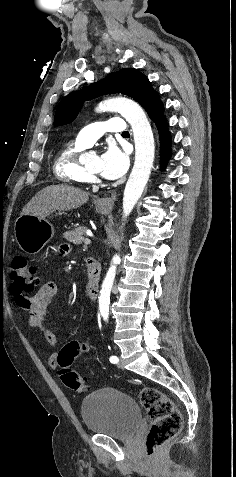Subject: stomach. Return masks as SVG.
<instances>
[{"label": "stomach", "instance_id": "stomach-1", "mask_svg": "<svg viewBox=\"0 0 236 477\" xmlns=\"http://www.w3.org/2000/svg\"><path fill=\"white\" fill-rule=\"evenodd\" d=\"M96 211L109 214L110 209L95 202ZM49 216V215H48ZM48 216L21 215L15 222L16 241L25 253L35 255L54 237V227Z\"/></svg>", "mask_w": 236, "mask_h": 477}]
</instances>
